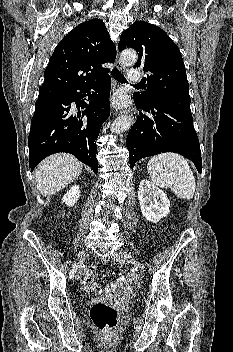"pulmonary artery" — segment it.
<instances>
[{
    "label": "pulmonary artery",
    "mask_w": 233,
    "mask_h": 352,
    "mask_svg": "<svg viewBox=\"0 0 233 352\" xmlns=\"http://www.w3.org/2000/svg\"><path fill=\"white\" fill-rule=\"evenodd\" d=\"M128 80L131 82H138L141 80V73L138 69H130L128 72Z\"/></svg>",
    "instance_id": "1"
}]
</instances>
